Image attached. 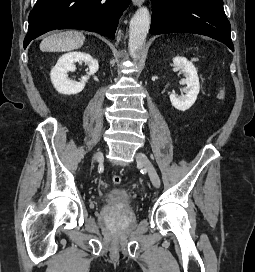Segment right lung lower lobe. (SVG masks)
Wrapping results in <instances>:
<instances>
[{
    "instance_id": "1",
    "label": "right lung lower lobe",
    "mask_w": 255,
    "mask_h": 272,
    "mask_svg": "<svg viewBox=\"0 0 255 272\" xmlns=\"http://www.w3.org/2000/svg\"><path fill=\"white\" fill-rule=\"evenodd\" d=\"M130 0H37L28 18L24 48L55 29H80L114 38L119 18Z\"/></svg>"
}]
</instances>
